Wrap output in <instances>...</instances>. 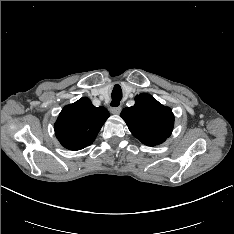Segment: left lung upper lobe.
I'll list each match as a JSON object with an SVG mask.
<instances>
[{
  "label": "left lung upper lobe",
  "instance_id": "left-lung-upper-lobe-1",
  "mask_svg": "<svg viewBox=\"0 0 234 234\" xmlns=\"http://www.w3.org/2000/svg\"><path fill=\"white\" fill-rule=\"evenodd\" d=\"M120 116L131 133L148 146L164 142L171 135L174 126L171 109L146 93L137 95L135 105L124 108Z\"/></svg>",
  "mask_w": 234,
  "mask_h": 234
}]
</instances>
